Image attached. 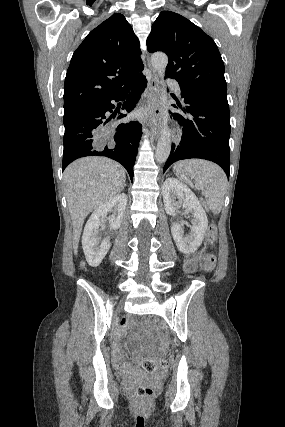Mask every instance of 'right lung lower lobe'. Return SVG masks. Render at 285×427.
Instances as JSON below:
<instances>
[{"label":"right lung lower lobe","mask_w":285,"mask_h":427,"mask_svg":"<svg viewBox=\"0 0 285 427\" xmlns=\"http://www.w3.org/2000/svg\"><path fill=\"white\" fill-rule=\"evenodd\" d=\"M146 78L141 75L133 84L119 93L77 104L64 110L63 170L75 159L86 156H106L122 164L133 180V166L141 137L139 122L121 123L114 132L107 129L111 118L121 119L125 114L106 118V112L115 107L111 101H119L130 92L123 105L127 112L136 106L146 87ZM110 137L112 142L106 141ZM107 143V145H106Z\"/></svg>","instance_id":"1"}]
</instances>
